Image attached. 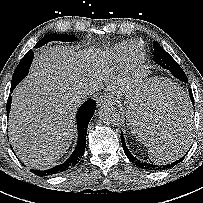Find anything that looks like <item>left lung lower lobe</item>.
I'll use <instances>...</instances> for the list:
<instances>
[{
    "mask_svg": "<svg viewBox=\"0 0 203 203\" xmlns=\"http://www.w3.org/2000/svg\"><path fill=\"white\" fill-rule=\"evenodd\" d=\"M154 60L158 65L169 70L172 73V75L175 76L177 79H179L183 82H187V77H186L185 73L183 72L182 68L167 52H163L161 54L156 53ZM189 95H190V99L194 105V98H193L192 90H190V89H189ZM187 108H189V107H186V109ZM186 109L181 108L182 112H179L177 114V116H179L180 120H181L179 122V126H178V132L179 131L180 132L172 140L176 141V140L183 138V136H186V134H187V129L189 128V130H190V123H188V121H187V120H190V118H191L190 110L188 111ZM134 111H135L136 115H138L139 119H141V122H145L147 125H150V126L157 125L156 119L159 116L160 112L156 107H153L150 102L148 103V101L146 99H141L140 101L136 102ZM121 142H122L124 152H125L126 156L129 158V160L131 162H133L136 166H138L142 169H146V170L167 169V168L177 165L184 158V157H182L179 160H177L171 164H168V165H162L159 163L151 164V163L142 162L130 153V151L128 150V148L125 144V140H124V137L122 134H121Z\"/></svg>",
    "mask_w": 203,
    "mask_h": 203,
    "instance_id": "obj_1",
    "label": "left lung lower lobe"
}]
</instances>
